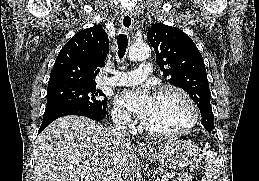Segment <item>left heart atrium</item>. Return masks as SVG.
<instances>
[{
  "mask_svg": "<svg viewBox=\"0 0 259 181\" xmlns=\"http://www.w3.org/2000/svg\"><path fill=\"white\" fill-rule=\"evenodd\" d=\"M116 104L137 117L145 120L154 104V96L147 89H128L115 98Z\"/></svg>",
  "mask_w": 259,
  "mask_h": 181,
  "instance_id": "left-heart-atrium-1",
  "label": "left heart atrium"
}]
</instances>
